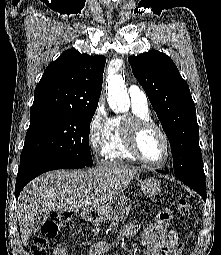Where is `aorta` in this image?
<instances>
[{"mask_svg":"<svg viewBox=\"0 0 221 255\" xmlns=\"http://www.w3.org/2000/svg\"><path fill=\"white\" fill-rule=\"evenodd\" d=\"M107 89L109 107L116 113L128 111L130 100L122 75L109 76Z\"/></svg>","mask_w":221,"mask_h":255,"instance_id":"aorta-1","label":"aorta"}]
</instances>
